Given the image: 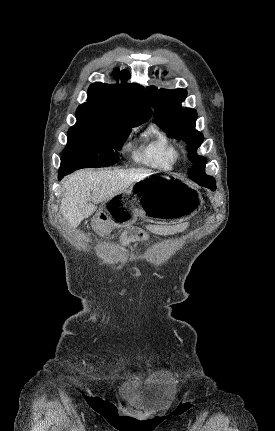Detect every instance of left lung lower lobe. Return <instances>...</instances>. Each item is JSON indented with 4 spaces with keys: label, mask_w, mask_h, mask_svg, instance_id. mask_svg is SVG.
Listing matches in <instances>:
<instances>
[{
    "label": "left lung lower lobe",
    "mask_w": 275,
    "mask_h": 431,
    "mask_svg": "<svg viewBox=\"0 0 275 431\" xmlns=\"http://www.w3.org/2000/svg\"><path fill=\"white\" fill-rule=\"evenodd\" d=\"M188 176L197 184L209 188L211 190H215L216 189V183L213 177L208 176L206 174H193L190 173L188 174Z\"/></svg>",
    "instance_id": "0a47b994"
}]
</instances>
